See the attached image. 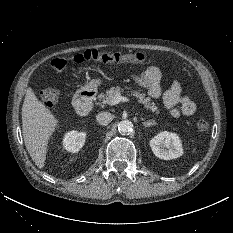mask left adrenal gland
<instances>
[{
    "instance_id": "obj_1",
    "label": "left adrenal gland",
    "mask_w": 233,
    "mask_h": 233,
    "mask_svg": "<svg viewBox=\"0 0 233 233\" xmlns=\"http://www.w3.org/2000/svg\"><path fill=\"white\" fill-rule=\"evenodd\" d=\"M143 125L145 126V127H151V126H153V125H156V122L154 121V120H152V121H144L143 122Z\"/></svg>"
}]
</instances>
